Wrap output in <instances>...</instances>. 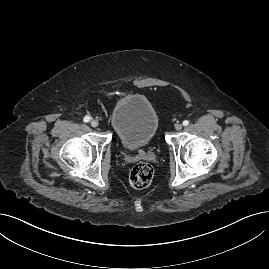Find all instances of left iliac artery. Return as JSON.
Instances as JSON below:
<instances>
[{"mask_svg": "<svg viewBox=\"0 0 269 269\" xmlns=\"http://www.w3.org/2000/svg\"><path fill=\"white\" fill-rule=\"evenodd\" d=\"M188 124H189V121H188V120H184V121H183V125H184V126H187Z\"/></svg>", "mask_w": 269, "mask_h": 269, "instance_id": "44dca946", "label": "left iliac artery"}]
</instances>
